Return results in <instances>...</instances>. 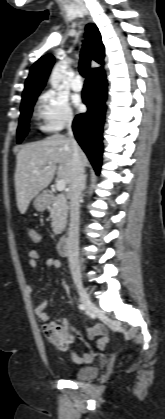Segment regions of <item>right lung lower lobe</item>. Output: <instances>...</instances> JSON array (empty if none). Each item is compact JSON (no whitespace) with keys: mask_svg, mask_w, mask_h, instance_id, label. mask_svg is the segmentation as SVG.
I'll list each match as a JSON object with an SVG mask.
<instances>
[{"mask_svg":"<svg viewBox=\"0 0 165 419\" xmlns=\"http://www.w3.org/2000/svg\"><path fill=\"white\" fill-rule=\"evenodd\" d=\"M107 82L104 71L90 72L82 91L88 111L78 114L73 122L76 140L87 154L97 173L100 172L102 155V128L105 118Z\"/></svg>","mask_w":165,"mask_h":419,"instance_id":"right-lung-lower-lobe-1","label":"right lung lower lobe"}]
</instances>
